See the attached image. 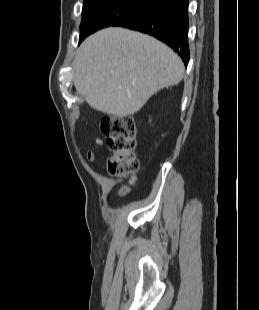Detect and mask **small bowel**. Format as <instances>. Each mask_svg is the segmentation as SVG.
I'll return each instance as SVG.
<instances>
[{"label": "small bowel", "mask_w": 259, "mask_h": 310, "mask_svg": "<svg viewBox=\"0 0 259 310\" xmlns=\"http://www.w3.org/2000/svg\"><path fill=\"white\" fill-rule=\"evenodd\" d=\"M94 144L95 146H102L103 145V140L100 137H96L94 139ZM86 159L88 162L93 163L96 160V152L94 149L90 148L86 152Z\"/></svg>", "instance_id": "small-bowel-1"}]
</instances>
